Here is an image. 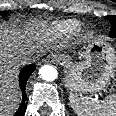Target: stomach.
Masks as SVG:
<instances>
[{"label": "stomach", "mask_w": 116, "mask_h": 116, "mask_svg": "<svg viewBox=\"0 0 116 116\" xmlns=\"http://www.w3.org/2000/svg\"><path fill=\"white\" fill-rule=\"evenodd\" d=\"M81 56L80 62L65 58L66 86L74 92H97L110 82L116 66V56L111 46L102 42H92Z\"/></svg>", "instance_id": "0dacf381"}]
</instances>
